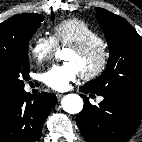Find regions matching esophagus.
Wrapping results in <instances>:
<instances>
[{
    "instance_id": "1",
    "label": "esophagus",
    "mask_w": 142,
    "mask_h": 142,
    "mask_svg": "<svg viewBox=\"0 0 142 142\" xmlns=\"http://www.w3.org/2000/svg\"><path fill=\"white\" fill-rule=\"evenodd\" d=\"M63 97V94H57V98H58V100H60L61 98Z\"/></svg>"
}]
</instances>
